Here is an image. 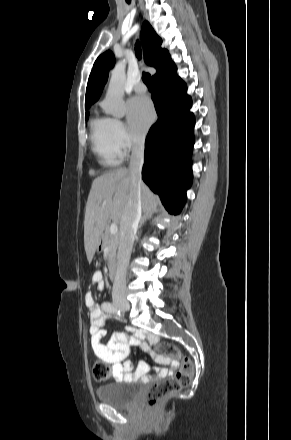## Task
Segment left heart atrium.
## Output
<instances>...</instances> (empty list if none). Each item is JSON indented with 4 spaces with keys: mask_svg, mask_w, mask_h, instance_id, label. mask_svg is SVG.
<instances>
[{
    "mask_svg": "<svg viewBox=\"0 0 291 440\" xmlns=\"http://www.w3.org/2000/svg\"><path fill=\"white\" fill-rule=\"evenodd\" d=\"M155 112L150 100L137 96L128 103V118L131 129L136 134H143L153 122Z\"/></svg>",
    "mask_w": 291,
    "mask_h": 440,
    "instance_id": "39dd6f15",
    "label": "left heart atrium"
}]
</instances>
